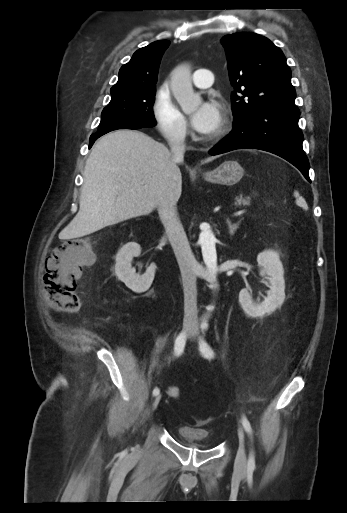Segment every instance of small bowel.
Masks as SVG:
<instances>
[{"label": "small bowel", "instance_id": "1", "mask_svg": "<svg viewBox=\"0 0 347 513\" xmlns=\"http://www.w3.org/2000/svg\"><path fill=\"white\" fill-rule=\"evenodd\" d=\"M159 348H160V345H156L155 348H154V352L157 353Z\"/></svg>", "mask_w": 347, "mask_h": 513}]
</instances>
